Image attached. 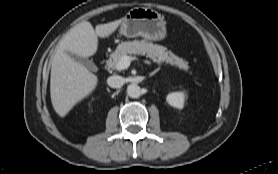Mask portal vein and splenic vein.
I'll return each mask as SVG.
<instances>
[{
	"instance_id": "18ae733b",
	"label": "portal vein and splenic vein",
	"mask_w": 278,
	"mask_h": 174,
	"mask_svg": "<svg viewBox=\"0 0 278 174\" xmlns=\"http://www.w3.org/2000/svg\"><path fill=\"white\" fill-rule=\"evenodd\" d=\"M132 61H133L132 57L122 56L117 64V70L127 69L130 66ZM144 63L147 65H151V62L149 60H144Z\"/></svg>"
}]
</instances>
